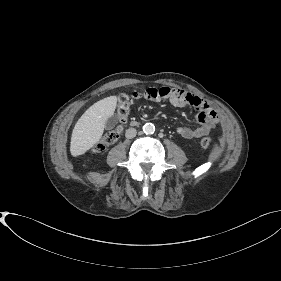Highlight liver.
<instances>
[{"instance_id":"6515ba94","label":"liver","mask_w":281,"mask_h":281,"mask_svg":"<svg viewBox=\"0 0 281 281\" xmlns=\"http://www.w3.org/2000/svg\"><path fill=\"white\" fill-rule=\"evenodd\" d=\"M116 105V96L106 97L90 106L79 118L70 142V153L73 157L84 154L101 139L105 122L114 114Z\"/></svg>"}]
</instances>
